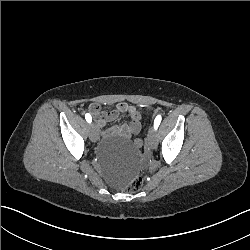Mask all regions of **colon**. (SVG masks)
<instances>
[{
    "label": "colon",
    "mask_w": 250,
    "mask_h": 250,
    "mask_svg": "<svg viewBox=\"0 0 250 250\" xmlns=\"http://www.w3.org/2000/svg\"><path fill=\"white\" fill-rule=\"evenodd\" d=\"M144 112L145 113H152L153 112V107L152 106H145L144 107ZM131 116L136 121L141 120L142 117H143L141 113L136 112V111L133 112ZM134 145L137 148H140L143 145V140L140 137H137L134 140ZM143 183H144V177L142 175H137L134 179L131 180V182L129 184H125L123 186V192L125 194H130L131 192H136L141 188Z\"/></svg>",
    "instance_id": "obj_1"
}]
</instances>
